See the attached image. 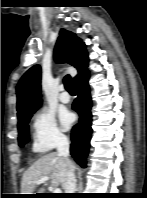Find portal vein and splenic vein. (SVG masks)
Returning <instances> with one entry per match:
<instances>
[{"label":"portal vein and splenic vein","mask_w":147,"mask_h":198,"mask_svg":"<svg viewBox=\"0 0 147 198\" xmlns=\"http://www.w3.org/2000/svg\"><path fill=\"white\" fill-rule=\"evenodd\" d=\"M50 178L49 177H42L41 179H39L38 181H36V184L39 185L41 183H44L46 181H48ZM53 193H62L60 188H56L54 189Z\"/></svg>","instance_id":"18ae733b"}]
</instances>
